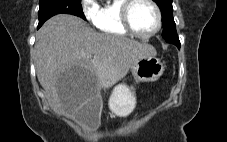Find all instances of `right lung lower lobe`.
Masks as SVG:
<instances>
[{
	"instance_id": "98d812e1",
	"label": "right lung lower lobe",
	"mask_w": 227,
	"mask_h": 142,
	"mask_svg": "<svg viewBox=\"0 0 227 142\" xmlns=\"http://www.w3.org/2000/svg\"><path fill=\"white\" fill-rule=\"evenodd\" d=\"M42 26V25H41ZM40 25H38V28H40L41 27Z\"/></svg>"
}]
</instances>
